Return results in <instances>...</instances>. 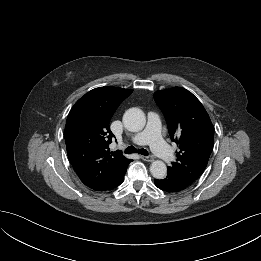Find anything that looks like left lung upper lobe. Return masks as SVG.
<instances>
[{
	"label": "left lung upper lobe",
	"mask_w": 261,
	"mask_h": 261,
	"mask_svg": "<svg viewBox=\"0 0 261 261\" xmlns=\"http://www.w3.org/2000/svg\"><path fill=\"white\" fill-rule=\"evenodd\" d=\"M174 142L179 145L176 162L168 172L192 184L207 166L214 139V128L201 102L188 90L174 87L154 93Z\"/></svg>",
	"instance_id": "1"
}]
</instances>
